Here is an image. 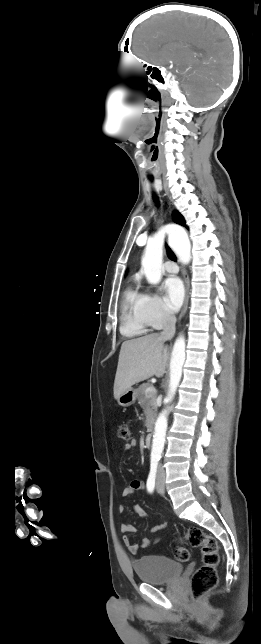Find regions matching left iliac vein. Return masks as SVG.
<instances>
[{"instance_id": "obj_1", "label": "left iliac vein", "mask_w": 261, "mask_h": 644, "mask_svg": "<svg viewBox=\"0 0 261 644\" xmlns=\"http://www.w3.org/2000/svg\"><path fill=\"white\" fill-rule=\"evenodd\" d=\"M156 489L158 493H164V480L161 475L158 476Z\"/></svg>"}]
</instances>
